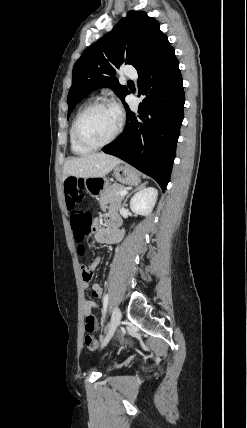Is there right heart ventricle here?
<instances>
[{
	"instance_id": "1",
	"label": "right heart ventricle",
	"mask_w": 247,
	"mask_h": 428,
	"mask_svg": "<svg viewBox=\"0 0 247 428\" xmlns=\"http://www.w3.org/2000/svg\"><path fill=\"white\" fill-rule=\"evenodd\" d=\"M79 112H80V110L74 116L72 123H71V126H70V129H69V142H70L71 150L74 154L85 155V154H88L89 152H91L92 149L85 148V147L81 146L80 144H78L77 141L75 140L74 133H73L74 121H75L77 115L79 114Z\"/></svg>"
}]
</instances>
